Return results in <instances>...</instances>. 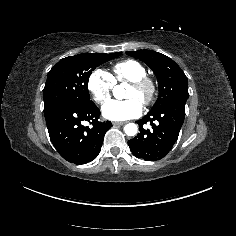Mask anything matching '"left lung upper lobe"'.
I'll return each mask as SVG.
<instances>
[{"label": "left lung upper lobe", "mask_w": 236, "mask_h": 236, "mask_svg": "<svg viewBox=\"0 0 236 236\" xmlns=\"http://www.w3.org/2000/svg\"><path fill=\"white\" fill-rule=\"evenodd\" d=\"M145 62L155 73L159 83V96L150 112L166 106L176 99H188V80L182 69L169 57L152 50L126 52Z\"/></svg>", "instance_id": "left-lung-upper-lobe-1"}]
</instances>
